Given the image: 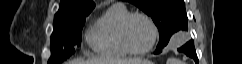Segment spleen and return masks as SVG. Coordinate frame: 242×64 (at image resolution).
<instances>
[{
    "instance_id": "3e777b00",
    "label": "spleen",
    "mask_w": 242,
    "mask_h": 64,
    "mask_svg": "<svg viewBox=\"0 0 242 64\" xmlns=\"http://www.w3.org/2000/svg\"><path fill=\"white\" fill-rule=\"evenodd\" d=\"M167 64H183V63L178 59L170 58L168 59Z\"/></svg>"
}]
</instances>
